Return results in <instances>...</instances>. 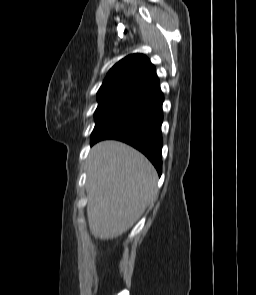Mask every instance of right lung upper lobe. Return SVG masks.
Listing matches in <instances>:
<instances>
[{
  "label": "right lung upper lobe",
  "mask_w": 256,
  "mask_h": 295,
  "mask_svg": "<svg viewBox=\"0 0 256 295\" xmlns=\"http://www.w3.org/2000/svg\"><path fill=\"white\" fill-rule=\"evenodd\" d=\"M155 67L143 54H130L108 72L97 99L99 103L135 98L158 82Z\"/></svg>",
  "instance_id": "1"
}]
</instances>
